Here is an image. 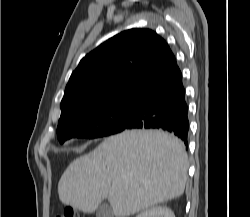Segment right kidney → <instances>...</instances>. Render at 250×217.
Returning <instances> with one entry per match:
<instances>
[{
    "label": "right kidney",
    "mask_w": 250,
    "mask_h": 217,
    "mask_svg": "<svg viewBox=\"0 0 250 217\" xmlns=\"http://www.w3.org/2000/svg\"><path fill=\"white\" fill-rule=\"evenodd\" d=\"M136 217H175V215L167 206H155L141 212Z\"/></svg>",
    "instance_id": "obj_1"
}]
</instances>
